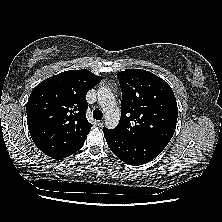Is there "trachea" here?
<instances>
[{"mask_svg":"<svg viewBox=\"0 0 222 222\" xmlns=\"http://www.w3.org/2000/svg\"><path fill=\"white\" fill-rule=\"evenodd\" d=\"M103 117V113L101 110L96 109L93 111V118H95L96 120H101Z\"/></svg>","mask_w":222,"mask_h":222,"instance_id":"trachea-1","label":"trachea"}]
</instances>
